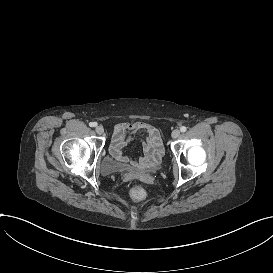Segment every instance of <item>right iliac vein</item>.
Returning <instances> with one entry per match:
<instances>
[{"label": "right iliac vein", "mask_w": 273, "mask_h": 273, "mask_svg": "<svg viewBox=\"0 0 273 273\" xmlns=\"http://www.w3.org/2000/svg\"><path fill=\"white\" fill-rule=\"evenodd\" d=\"M95 131L97 134L101 135L104 133V128L102 126H96Z\"/></svg>", "instance_id": "right-iliac-vein-1"}]
</instances>
